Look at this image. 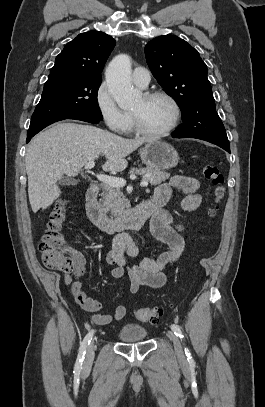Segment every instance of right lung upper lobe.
Returning <instances> with one entry per match:
<instances>
[{
  "label": "right lung upper lobe",
  "mask_w": 265,
  "mask_h": 407,
  "mask_svg": "<svg viewBox=\"0 0 265 407\" xmlns=\"http://www.w3.org/2000/svg\"><path fill=\"white\" fill-rule=\"evenodd\" d=\"M115 44V39L103 32L81 33L67 43L56 57L55 65L52 67L49 77L68 74L101 80L104 64Z\"/></svg>",
  "instance_id": "cb5924a9"
}]
</instances>
